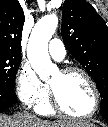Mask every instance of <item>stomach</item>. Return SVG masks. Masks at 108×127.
I'll list each match as a JSON object with an SVG mask.
<instances>
[{
    "label": "stomach",
    "mask_w": 108,
    "mask_h": 127,
    "mask_svg": "<svg viewBox=\"0 0 108 127\" xmlns=\"http://www.w3.org/2000/svg\"><path fill=\"white\" fill-rule=\"evenodd\" d=\"M81 127H96L94 124H90L88 126H81Z\"/></svg>",
    "instance_id": "0dacf381"
}]
</instances>
